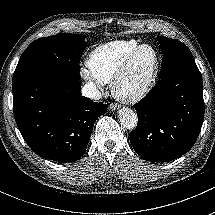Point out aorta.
I'll use <instances>...</instances> for the list:
<instances>
[{
  "label": "aorta",
  "mask_w": 215,
  "mask_h": 215,
  "mask_svg": "<svg viewBox=\"0 0 215 215\" xmlns=\"http://www.w3.org/2000/svg\"><path fill=\"white\" fill-rule=\"evenodd\" d=\"M119 120H120V124L125 129H128V130H134V129H136V127L138 125L137 113L128 108L121 110Z\"/></svg>",
  "instance_id": "obj_1"
}]
</instances>
